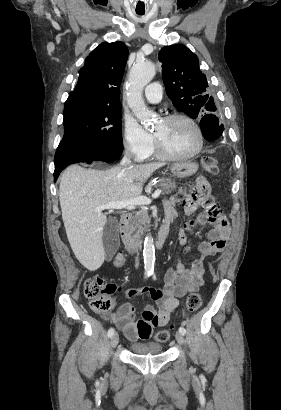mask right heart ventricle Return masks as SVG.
I'll list each match as a JSON object with an SVG mask.
<instances>
[{
    "label": "right heart ventricle",
    "instance_id": "right-heart-ventricle-1",
    "mask_svg": "<svg viewBox=\"0 0 281 410\" xmlns=\"http://www.w3.org/2000/svg\"><path fill=\"white\" fill-rule=\"evenodd\" d=\"M157 152H156V149H155V147L153 146L152 147V149H151V151H150V153H149V155L147 156V157H150V156H152V155H155ZM146 157V158H147Z\"/></svg>",
    "mask_w": 281,
    "mask_h": 410
}]
</instances>
